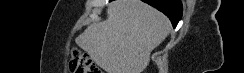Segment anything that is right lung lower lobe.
<instances>
[{"instance_id": "1", "label": "right lung lower lobe", "mask_w": 244, "mask_h": 73, "mask_svg": "<svg viewBox=\"0 0 244 73\" xmlns=\"http://www.w3.org/2000/svg\"><path fill=\"white\" fill-rule=\"evenodd\" d=\"M112 1V0H109ZM149 5L157 8L168 16L173 24V27H176L177 23L182 16V3L180 0H142Z\"/></svg>"}]
</instances>
